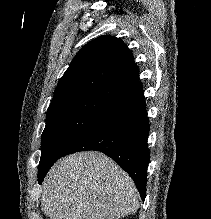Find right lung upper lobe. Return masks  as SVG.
Instances as JSON below:
<instances>
[{
  "instance_id": "1",
  "label": "right lung upper lobe",
  "mask_w": 211,
  "mask_h": 219,
  "mask_svg": "<svg viewBox=\"0 0 211 219\" xmlns=\"http://www.w3.org/2000/svg\"><path fill=\"white\" fill-rule=\"evenodd\" d=\"M139 70L126 44L100 36L86 44L60 79L51 105L76 98H97L117 106L143 92Z\"/></svg>"
}]
</instances>
